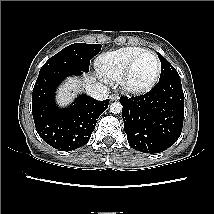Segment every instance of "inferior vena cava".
<instances>
[{"mask_svg": "<svg viewBox=\"0 0 214 214\" xmlns=\"http://www.w3.org/2000/svg\"><path fill=\"white\" fill-rule=\"evenodd\" d=\"M86 93L96 100H105L109 96V89L101 83H93L86 87Z\"/></svg>", "mask_w": 214, "mask_h": 214, "instance_id": "obj_1", "label": "inferior vena cava"}]
</instances>
